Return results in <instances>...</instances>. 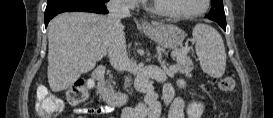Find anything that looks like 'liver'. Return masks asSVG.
Segmentation results:
<instances>
[{"mask_svg":"<svg viewBox=\"0 0 273 118\" xmlns=\"http://www.w3.org/2000/svg\"><path fill=\"white\" fill-rule=\"evenodd\" d=\"M112 36L108 17L66 12L48 26V82L53 92L66 90L106 56Z\"/></svg>","mask_w":273,"mask_h":118,"instance_id":"liver-1","label":"liver"}]
</instances>
